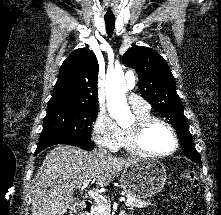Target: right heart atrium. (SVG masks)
I'll list each match as a JSON object with an SVG mask.
<instances>
[{"mask_svg":"<svg viewBox=\"0 0 221 215\" xmlns=\"http://www.w3.org/2000/svg\"><path fill=\"white\" fill-rule=\"evenodd\" d=\"M92 137L100 148L117 151L122 144L123 131L107 113L101 112L93 123Z\"/></svg>","mask_w":221,"mask_h":215,"instance_id":"d8ad5b80","label":"right heart atrium"}]
</instances>
